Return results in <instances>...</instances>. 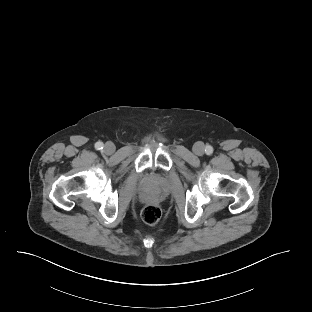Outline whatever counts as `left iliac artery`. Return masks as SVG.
<instances>
[{
    "label": "left iliac artery",
    "instance_id": "1",
    "mask_svg": "<svg viewBox=\"0 0 312 312\" xmlns=\"http://www.w3.org/2000/svg\"><path fill=\"white\" fill-rule=\"evenodd\" d=\"M205 152L208 155L212 154L213 153V147L210 146V145H207L206 148H205Z\"/></svg>",
    "mask_w": 312,
    "mask_h": 312
}]
</instances>
